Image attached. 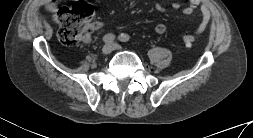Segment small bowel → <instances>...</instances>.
Segmentation results:
<instances>
[{"instance_id":"obj_1","label":"small bowel","mask_w":253,"mask_h":138,"mask_svg":"<svg viewBox=\"0 0 253 138\" xmlns=\"http://www.w3.org/2000/svg\"><path fill=\"white\" fill-rule=\"evenodd\" d=\"M60 1L61 0H42L40 5L45 8H52L55 5H57ZM199 5H200L199 0H190L187 6H182L179 2H174L172 4V8L175 11H178L182 14L190 15L198 9ZM155 9L162 13L166 11V7L159 1L155 3ZM201 12H202V21L196 31L197 33L202 32L206 28L210 20V9L207 6H202ZM92 27L93 29H100L102 27V23L93 22ZM166 30L167 26L164 23H158L153 28L154 33L159 35L164 34Z\"/></svg>"}]
</instances>
